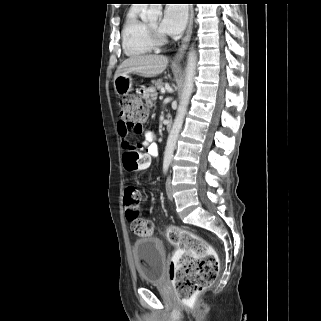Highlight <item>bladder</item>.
I'll use <instances>...</instances> for the list:
<instances>
[{"label":"bladder","mask_w":321,"mask_h":321,"mask_svg":"<svg viewBox=\"0 0 321 321\" xmlns=\"http://www.w3.org/2000/svg\"><path fill=\"white\" fill-rule=\"evenodd\" d=\"M132 252L142 282L160 283L164 276L166 260L163 243L154 237L140 238L132 244Z\"/></svg>","instance_id":"1"}]
</instances>
